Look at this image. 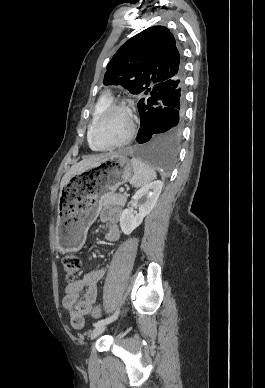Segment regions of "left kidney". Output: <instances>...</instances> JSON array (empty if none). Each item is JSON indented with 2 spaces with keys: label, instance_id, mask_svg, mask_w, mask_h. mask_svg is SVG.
Segmentation results:
<instances>
[{
  "label": "left kidney",
  "instance_id": "1",
  "mask_svg": "<svg viewBox=\"0 0 265 388\" xmlns=\"http://www.w3.org/2000/svg\"><path fill=\"white\" fill-rule=\"evenodd\" d=\"M162 182H151L140 188L133 196L132 200H136L139 208V214H134L133 210H123L120 216V228L123 234L129 236L135 228H138L143 222V218L150 214L153 210L162 190Z\"/></svg>",
  "mask_w": 265,
  "mask_h": 388
}]
</instances>
